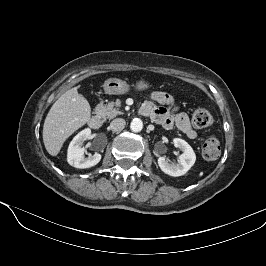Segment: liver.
<instances>
[{"mask_svg":"<svg viewBox=\"0 0 266 266\" xmlns=\"http://www.w3.org/2000/svg\"><path fill=\"white\" fill-rule=\"evenodd\" d=\"M80 85L67 90L49 110L43 126V142L47 152L56 156L65 140L85 125L91 116L87 99L78 93Z\"/></svg>","mask_w":266,"mask_h":266,"instance_id":"liver-1","label":"liver"}]
</instances>
